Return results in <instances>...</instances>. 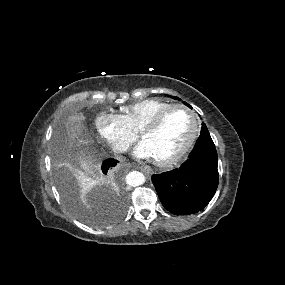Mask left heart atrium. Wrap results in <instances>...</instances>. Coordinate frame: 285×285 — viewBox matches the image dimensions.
Returning a JSON list of instances; mask_svg holds the SVG:
<instances>
[{
  "label": "left heart atrium",
  "instance_id": "1",
  "mask_svg": "<svg viewBox=\"0 0 285 285\" xmlns=\"http://www.w3.org/2000/svg\"><path fill=\"white\" fill-rule=\"evenodd\" d=\"M134 155L139 159L151 160L154 159L148 145L145 141H141L135 148H134Z\"/></svg>",
  "mask_w": 285,
  "mask_h": 285
}]
</instances>
